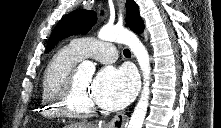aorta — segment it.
Masks as SVG:
<instances>
[{
  "label": "aorta",
  "mask_w": 221,
  "mask_h": 128,
  "mask_svg": "<svg viewBox=\"0 0 221 128\" xmlns=\"http://www.w3.org/2000/svg\"><path fill=\"white\" fill-rule=\"evenodd\" d=\"M98 38L103 41H112L127 45L138 61L143 76V90L127 128H142L150 97L151 68L149 54L139 38L131 31L122 27L103 26L98 33ZM78 70L87 74H93L95 65L91 61H83L78 66Z\"/></svg>",
  "instance_id": "1"
}]
</instances>
